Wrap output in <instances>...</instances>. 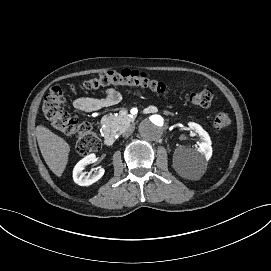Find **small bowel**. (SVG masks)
I'll return each instance as SVG.
<instances>
[{
  "label": "small bowel",
  "mask_w": 271,
  "mask_h": 271,
  "mask_svg": "<svg viewBox=\"0 0 271 271\" xmlns=\"http://www.w3.org/2000/svg\"><path fill=\"white\" fill-rule=\"evenodd\" d=\"M121 99L120 93L114 88H108L103 97H78L73 101L75 109L83 112H97L115 106Z\"/></svg>",
  "instance_id": "small-bowel-1"
}]
</instances>
